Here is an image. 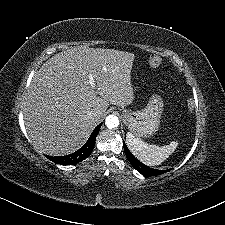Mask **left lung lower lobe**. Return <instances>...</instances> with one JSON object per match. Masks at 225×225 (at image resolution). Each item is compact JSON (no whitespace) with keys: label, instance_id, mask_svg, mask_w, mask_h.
I'll return each mask as SVG.
<instances>
[{"label":"left lung lower lobe","instance_id":"0a47b994","mask_svg":"<svg viewBox=\"0 0 225 225\" xmlns=\"http://www.w3.org/2000/svg\"><path fill=\"white\" fill-rule=\"evenodd\" d=\"M124 151L126 154V157L128 158L129 162L131 163V165L141 174L143 175H150V176H155V175H160L163 174L165 172H167L168 170H156L153 168H149L148 166L144 165L143 163H141L140 161H138L129 151V149L127 148L126 144L124 143Z\"/></svg>","mask_w":225,"mask_h":225}]
</instances>
